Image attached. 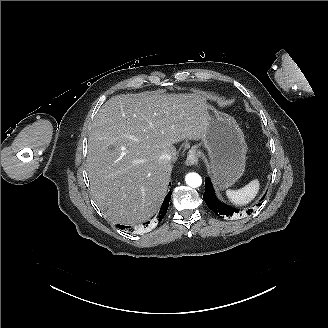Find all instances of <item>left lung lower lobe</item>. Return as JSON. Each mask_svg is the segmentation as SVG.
<instances>
[{"mask_svg":"<svg viewBox=\"0 0 328 328\" xmlns=\"http://www.w3.org/2000/svg\"><path fill=\"white\" fill-rule=\"evenodd\" d=\"M205 185H206V191L203 195L204 201L207 204V206L216 215H218L220 217H225V216L231 217L234 213H239V210L229 207L216 199L214 190L212 188L211 181L209 180V178L205 179ZM251 210L249 209L246 212L249 214V212Z\"/></svg>","mask_w":328,"mask_h":328,"instance_id":"0a47b994","label":"left lung lower lobe"}]
</instances>
